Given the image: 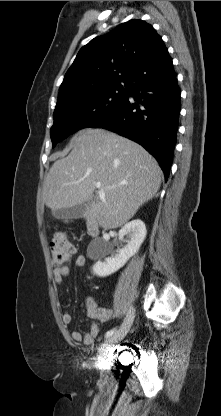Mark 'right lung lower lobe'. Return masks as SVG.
<instances>
[{
	"instance_id": "obj_1",
	"label": "right lung lower lobe",
	"mask_w": 221,
	"mask_h": 416,
	"mask_svg": "<svg viewBox=\"0 0 221 416\" xmlns=\"http://www.w3.org/2000/svg\"><path fill=\"white\" fill-rule=\"evenodd\" d=\"M180 90L174 69L166 78L140 83L113 116L93 127L105 128L142 145L162 168L165 180L169 176L176 145L180 113Z\"/></svg>"
}]
</instances>
